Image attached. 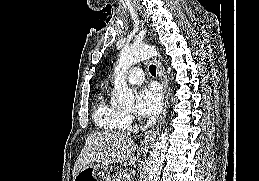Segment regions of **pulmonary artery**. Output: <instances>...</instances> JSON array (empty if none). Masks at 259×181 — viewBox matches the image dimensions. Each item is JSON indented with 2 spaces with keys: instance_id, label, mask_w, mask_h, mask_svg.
<instances>
[{
  "instance_id": "obj_1",
  "label": "pulmonary artery",
  "mask_w": 259,
  "mask_h": 181,
  "mask_svg": "<svg viewBox=\"0 0 259 181\" xmlns=\"http://www.w3.org/2000/svg\"><path fill=\"white\" fill-rule=\"evenodd\" d=\"M143 81L144 77L141 70L133 71L128 77V82L131 84H141Z\"/></svg>"
}]
</instances>
